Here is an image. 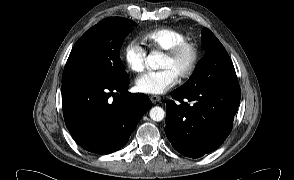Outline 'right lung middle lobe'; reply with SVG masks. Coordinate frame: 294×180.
I'll return each mask as SVG.
<instances>
[{"label":"right lung middle lobe","mask_w":294,"mask_h":180,"mask_svg":"<svg viewBox=\"0 0 294 180\" xmlns=\"http://www.w3.org/2000/svg\"><path fill=\"white\" fill-rule=\"evenodd\" d=\"M135 23L126 18H106L75 43L66 62L62 84L77 80L124 82L128 75L119 52Z\"/></svg>","instance_id":"right-lung-middle-lobe-1"}]
</instances>
